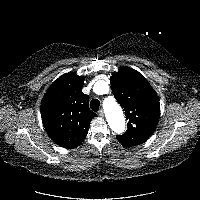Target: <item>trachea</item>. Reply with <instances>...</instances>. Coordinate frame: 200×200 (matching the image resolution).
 Instances as JSON below:
<instances>
[{
    "label": "trachea",
    "mask_w": 200,
    "mask_h": 200,
    "mask_svg": "<svg viewBox=\"0 0 200 200\" xmlns=\"http://www.w3.org/2000/svg\"><path fill=\"white\" fill-rule=\"evenodd\" d=\"M99 107H100V102H99V100L93 99V100L90 102V108H91L94 112H97V111L99 110Z\"/></svg>",
    "instance_id": "1"
}]
</instances>
